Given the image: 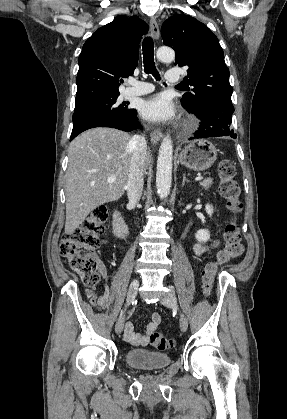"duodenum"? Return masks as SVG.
Here are the masks:
<instances>
[{"label": "duodenum", "instance_id": "obj_1", "mask_svg": "<svg viewBox=\"0 0 287 419\" xmlns=\"http://www.w3.org/2000/svg\"><path fill=\"white\" fill-rule=\"evenodd\" d=\"M113 231L119 239H125L128 235V224L120 212H116L114 215Z\"/></svg>", "mask_w": 287, "mask_h": 419}]
</instances>
